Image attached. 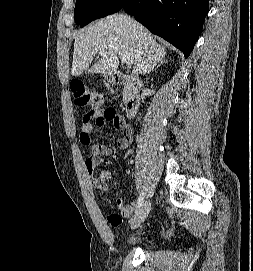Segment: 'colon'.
Masks as SVG:
<instances>
[{
	"mask_svg": "<svg viewBox=\"0 0 253 271\" xmlns=\"http://www.w3.org/2000/svg\"><path fill=\"white\" fill-rule=\"evenodd\" d=\"M73 97L74 103L81 107H91L93 113H102L103 116L109 121H119V117L112 109L102 110L103 96L96 92L87 90L82 83L75 81L73 83ZM120 220L117 217L109 219L111 224H116Z\"/></svg>",
	"mask_w": 253,
	"mask_h": 271,
	"instance_id": "1",
	"label": "colon"
}]
</instances>
